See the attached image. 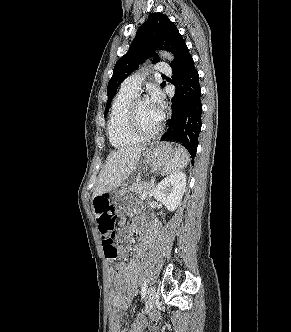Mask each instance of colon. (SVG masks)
<instances>
[{"label":"colon","mask_w":291,"mask_h":332,"mask_svg":"<svg viewBox=\"0 0 291 332\" xmlns=\"http://www.w3.org/2000/svg\"><path fill=\"white\" fill-rule=\"evenodd\" d=\"M95 211L105 257L114 260L118 257V248L115 243L117 220L115 210L108 198L101 196L95 200ZM109 332H121L120 319L116 313H113L110 317Z\"/></svg>","instance_id":"5ec220e1"}]
</instances>
